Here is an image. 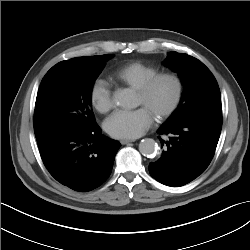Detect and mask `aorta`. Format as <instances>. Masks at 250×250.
Instances as JSON below:
<instances>
[{"label":"aorta","mask_w":250,"mask_h":250,"mask_svg":"<svg viewBox=\"0 0 250 250\" xmlns=\"http://www.w3.org/2000/svg\"><path fill=\"white\" fill-rule=\"evenodd\" d=\"M134 94L128 89H120L114 92L113 101L122 108H132L134 106ZM158 144L151 138L143 139L139 144V151L147 157H155L158 153Z\"/></svg>","instance_id":"obj_1"}]
</instances>
